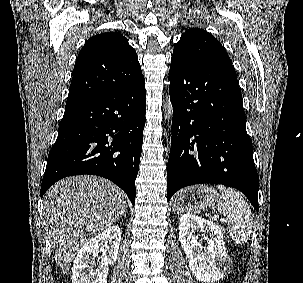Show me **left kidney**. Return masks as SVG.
I'll list each match as a JSON object with an SVG mask.
<instances>
[{
	"mask_svg": "<svg viewBox=\"0 0 303 283\" xmlns=\"http://www.w3.org/2000/svg\"><path fill=\"white\" fill-rule=\"evenodd\" d=\"M179 239L186 253L192 274L204 283H213L225 276L231 267L221 229L204 218L191 214L181 217ZM204 233L207 246L203 247L196 232Z\"/></svg>",
	"mask_w": 303,
	"mask_h": 283,
	"instance_id": "5707ae66",
	"label": "left kidney"
}]
</instances>
